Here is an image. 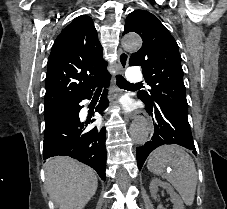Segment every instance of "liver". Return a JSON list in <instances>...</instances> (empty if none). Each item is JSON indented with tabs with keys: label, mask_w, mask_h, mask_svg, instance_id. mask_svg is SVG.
<instances>
[{
	"label": "liver",
	"mask_w": 227,
	"mask_h": 209,
	"mask_svg": "<svg viewBox=\"0 0 227 209\" xmlns=\"http://www.w3.org/2000/svg\"><path fill=\"white\" fill-rule=\"evenodd\" d=\"M97 185L95 171L70 157H55L45 165L46 191L59 209H84Z\"/></svg>",
	"instance_id": "1"
}]
</instances>
